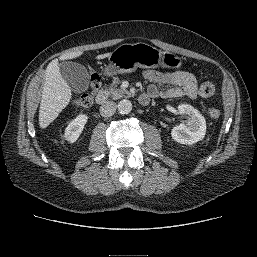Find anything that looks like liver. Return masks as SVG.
I'll return each mask as SVG.
<instances>
[{
	"mask_svg": "<svg viewBox=\"0 0 257 257\" xmlns=\"http://www.w3.org/2000/svg\"><path fill=\"white\" fill-rule=\"evenodd\" d=\"M82 54L83 52L80 51L67 53L60 56L59 60L74 59ZM110 54L98 55L96 59L107 58ZM71 96V88L60 73L58 59H54L45 71V82L39 108V125L41 128H46L58 117L59 113L69 104Z\"/></svg>",
	"mask_w": 257,
	"mask_h": 257,
	"instance_id": "6515ba94",
	"label": "liver"
}]
</instances>
